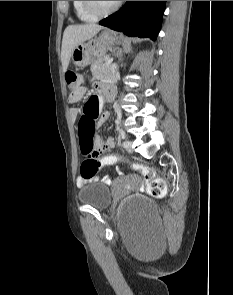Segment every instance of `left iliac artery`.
<instances>
[{"instance_id":"obj_1","label":"left iliac artery","mask_w":233,"mask_h":295,"mask_svg":"<svg viewBox=\"0 0 233 295\" xmlns=\"http://www.w3.org/2000/svg\"><path fill=\"white\" fill-rule=\"evenodd\" d=\"M122 139H124V138H122ZM122 143H123L124 145H128V144H129V141H128V140H124Z\"/></svg>"}]
</instances>
